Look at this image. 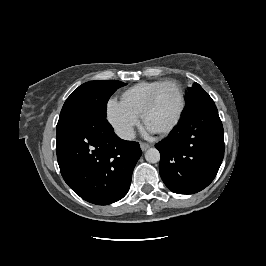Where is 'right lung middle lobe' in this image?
Masks as SVG:
<instances>
[{
	"label": "right lung middle lobe",
	"mask_w": 266,
	"mask_h": 266,
	"mask_svg": "<svg viewBox=\"0 0 266 266\" xmlns=\"http://www.w3.org/2000/svg\"><path fill=\"white\" fill-rule=\"evenodd\" d=\"M126 83L90 81L80 85L65 101L57 123L56 141L91 119H105L110 96Z\"/></svg>",
	"instance_id": "obj_1"
}]
</instances>
